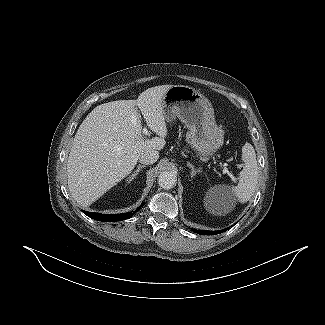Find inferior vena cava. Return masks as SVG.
Wrapping results in <instances>:
<instances>
[{"label": "inferior vena cava", "instance_id": "inferior-vena-cava-1", "mask_svg": "<svg viewBox=\"0 0 325 325\" xmlns=\"http://www.w3.org/2000/svg\"><path fill=\"white\" fill-rule=\"evenodd\" d=\"M159 158L158 151L156 150H146L143 151L139 156V162L142 164H153L155 163Z\"/></svg>", "mask_w": 325, "mask_h": 325}]
</instances>
